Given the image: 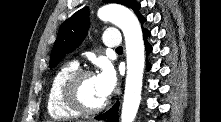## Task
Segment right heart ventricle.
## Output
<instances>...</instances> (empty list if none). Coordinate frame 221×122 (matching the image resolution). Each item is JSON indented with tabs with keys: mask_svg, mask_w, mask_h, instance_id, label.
I'll return each mask as SVG.
<instances>
[{
	"mask_svg": "<svg viewBox=\"0 0 221 122\" xmlns=\"http://www.w3.org/2000/svg\"><path fill=\"white\" fill-rule=\"evenodd\" d=\"M78 69L76 62L62 65L55 73L47 93V110L53 119L63 120L76 118L80 113L70 109L62 100L61 87L66 78Z\"/></svg>",
	"mask_w": 221,
	"mask_h": 122,
	"instance_id": "e07e8e85",
	"label": "right heart ventricle"
}]
</instances>
